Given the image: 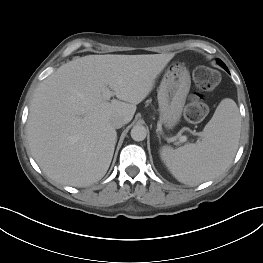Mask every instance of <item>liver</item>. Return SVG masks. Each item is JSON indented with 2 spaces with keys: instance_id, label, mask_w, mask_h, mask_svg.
Segmentation results:
<instances>
[{
  "instance_id": "obj_1",
  "label": "liver",
  "mask_w": 263,
  "mask_h": 263,
  "mask_svg": "<svg viewBox=\"0 0 263 263\" xmlns=\"http://www.w3.org/2000/svg\"><path fill=\"white\" fill-rule=\"evenodd\" d=\"M170 54L88 55L60 66L43 80L31 101L27 138L31 153L53 181L74 187L106 174L120 116L129 123L152 91ZM112 90L117 99L104 93Z\"/></svg>"
}]
</instances>
